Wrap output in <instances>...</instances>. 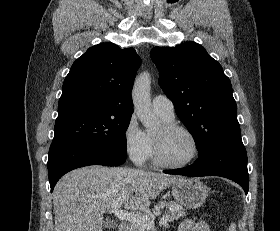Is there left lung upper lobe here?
Listing matches in <instances>:
<instances>
[{"label": "left lung upper lobe", "instance_id": "obj_1", "mask_svg": "<svg viewBox=\"0 0 280 231\" xmlns=\"http://www.w3.org/2000/svg\"><path fill=\"white\" fill-rule=\"evenodd\" d=\"M150 55L159 84L192 134L199 155L221 141L241 137L231 82L201 45L154 47Z\"/></svg>", "mask_w": 280, "mask_h": 231}]
</instances>
